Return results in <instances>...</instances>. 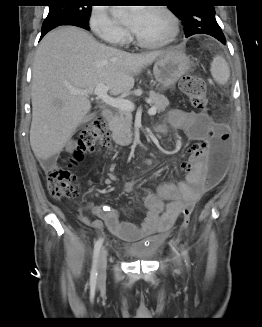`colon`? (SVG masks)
I'll return each mask as SVG.
<instances>
[{"instance_id":"obj_1","label":"colon","mask_w":262,"mask_h":327,"mask_svg":"<svg viewBox=\"0 0 262 327\" xmlns=\"http://www.w3.org/2000/svg\"><path fill=\"white\" fill-rule=\"evenodd\" d=\"M180 89L190 103L200 109H207V87L205 81L196 75L184 76L180 81ZM110 142L106 123L101 118L93 119L81 131L76 142L71 163L82 160L84 153L95 147H104ZM231 150V133L225 124H216L214 143L209 151L205 144L193 145L189 153H205L208 171L206 176L207 190L216 187L224 178ZM70 166V165H69ZM47 185L50 194L56 199H68L76 196L75 179L68 166H56L47 176ZM197 201L189 200L182 209L184 218H188Z\"/></svg>"}]
</instances>
